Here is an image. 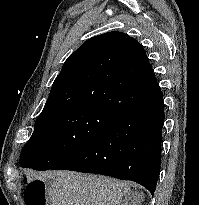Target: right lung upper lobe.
Instances as JSON below:
<instances>
[{"mask_svg": "<svg viewBox=\"0 0 199 205\" xmlns=\"http://www.w3.org/2000/svg\"><path fill=\"white\" fill-rule=\"evenodd\" d=\"M156 80L143 47L121 32H108L84 42L65 61L44 111L91 106L118 117L143 96L129 84Z\"/></svg>", "mask_w": 199, "mask_h": 205, "instance_id": "right-lung-upper-lobe-1", "label": "right lung upper lobe"}]
</instances>
